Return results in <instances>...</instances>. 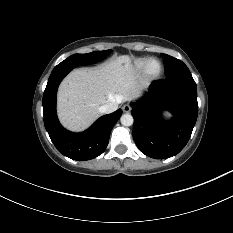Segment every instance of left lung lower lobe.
I'll return each mask as SVG.
<instances>
[{
    "label": "left lung lower lobe",
    "mask_w": 233,
    "mask_h": 233,
    "mask_svg": "<svg viewBox=\"0 0 233 233\" xmlns=\"http://www.w3.org/2000/svg\"><path fill=\"white\" fill-rule=\"evenodd\" d=\"M134 117L133 138L145 155L166 159L187 144L197 120V86L192 76H176L154 81L145 97L131 102ZM162 109L174 117L165 123Z\"/></svg>",
    "instance_id": "0a47b994"
}]
</instances>
